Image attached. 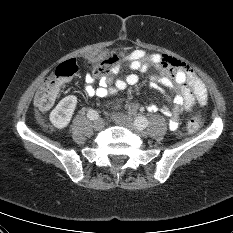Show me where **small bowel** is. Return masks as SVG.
<instances>
[{"instance_id":"1","label":"small bowel","mask_w":233,"mask_h":233,"mask_svg":"<svg viewBox=\"0 0 233 233\" xmlns=\"http://www.w3.org/2000/svg\"><path fill=\"white\" fill-rule=\"evenodd\" d=\"M125 61L129 63L130 69L144 72L153 67L156 74L152 81L171 90L166 93L167 99L172 106L161 107V112L170 117V128H178V117L183 111L193 113L197 104L204 106L207 103L208 95L204 83L196 75L194 70L185 62L160 53H148L142 49L130 52ZM121 70V64L117 63L111 70L110 75L102 76L97 85L92 74L86 76L84 93L89 98H101L107 95H114L128 86L139 82L136 74H129L124 78L114 80L113 76ZM149 111H157L156 105H148Z\"/></svg>"}]
</instances>
